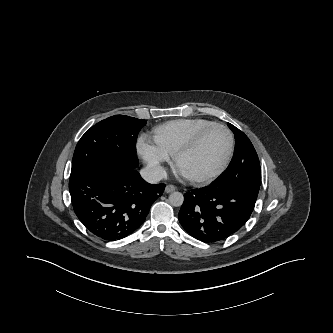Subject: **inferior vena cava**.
Wrapping results in <instances>:
<instances>
[{
	"label": "inferior vena cava",
	"instance_id": "602c4592",
	"mask_svg": "<svg viewBox=\"0 0 333 333\" xmlns=\"http://www.w3.org/2000/svg\"><path fill=\"white\" fill-rule=\"evenodd\" d=\"M142 178L148 183L155 184L166 177V172L161 166L148 165L140 171Z\"/></svg>",
	"mask_w": 333,
	"mask_h": 333
}]
</instances>
